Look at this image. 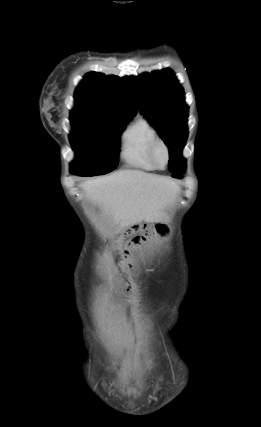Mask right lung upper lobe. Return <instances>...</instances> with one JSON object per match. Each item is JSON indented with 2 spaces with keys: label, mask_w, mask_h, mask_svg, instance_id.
<instances>
[{
  "label": "right lung upper lobe",
  "mask_w": 261,
  "mask_h": 427,
  "mask_svg": "<svg viewBox=\"0 0 261 427\" xmlns=\"http://www.w3.org/2000/svg\"><path fill=\"white\" fill-rule=\"evenodd\" d=\"M74 99L71 115L130 120L137 113L128 77L90 73L77 87Z\"/></svg>",
  "instance_id": "obj_1"
}]
</instances>
